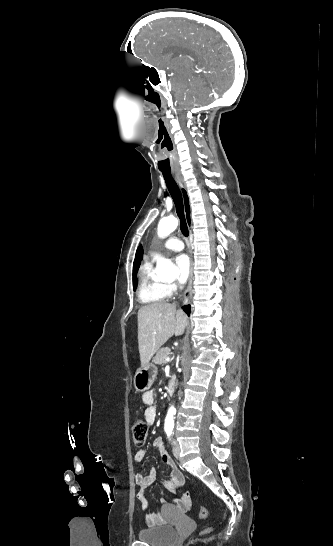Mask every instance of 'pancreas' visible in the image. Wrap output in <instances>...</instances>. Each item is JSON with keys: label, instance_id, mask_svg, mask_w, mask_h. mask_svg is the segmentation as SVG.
I'll return each instance as SVG.
<instances>
[{"label": "pancreas", "instance_id": "cf45deb5", "mask_svg": "<svg viewBox=\"0 0 333 546\" xmlns=\"http://www.w3.org/2000/svg\"><path fill=\"white\" fill-rule=\"evenodd\" d=\"M168 352H170V349L168 347L159 349L153 358V362L158 365L165 364L167 362L166 357H168Z\"/></svg>", "mask_w": 333, "mask_h": 546}]
</instances>
